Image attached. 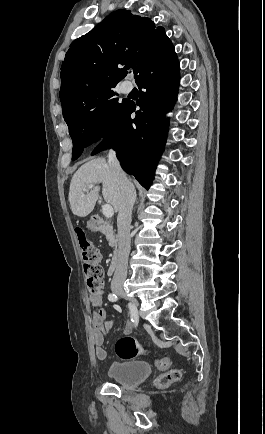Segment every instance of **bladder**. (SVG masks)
Segmentation results:
<instances>
[{"label": "bladder", "instance_id": "bladder-1", "mask_svg": "<svg viewBox=\"0 0 265 434\" xmlns=\"http://www.w3.org/2000/svg\"><path fill=\"white\" fill-rule=\"evenodd\" d=\"M150 373V365L145 361L136 359L114 362L108 369V376L126 389L137 387Z\"/></svg>", "mask_w": 265, "mask_h": 434}]
</instances>
